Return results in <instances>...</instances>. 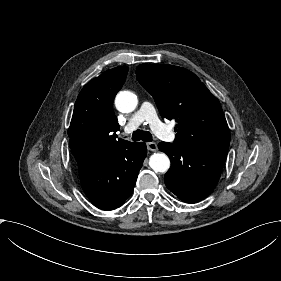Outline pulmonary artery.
<instances>
[{
	"instance_id": "e3ab8cb5",
	"label": "pulmonary artery",
	"mask_w": 281,
	"mask_h": 281,
	"mask_svg": "<svg viewBox=\"0 0 281 281\" xmlns=\"http://www.w3.org/2000/svg\"><path fill=\"white\" fill-rule=\"evenodd\" d=\"M144 121H147L151 128L156 125H162V122L157 117L153 105L148 100L143 101L139 110L132 115L124 131H132Z\"/></svg>"
}]
</instances>
